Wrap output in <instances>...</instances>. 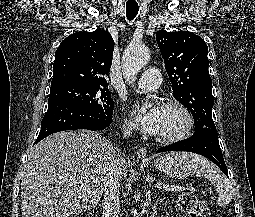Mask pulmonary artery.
Instances as JSON below:
<instances>
[{
    "instance_id": "e3ab8cb5",
    "label": "pulmonary artery",
    "mask_w": 255,
    "mask_h": 217,
    "mask_svg": "<svg viewBox=\"0 0 255 217\" xmlns=\"http://www.w3.org/2000/svg\"><path fill=\"white\" fill-rule=\"evenodd\" d=\"M160 72L158 69L145 70L137 81L136 89L139 92H149L157 89L160 85Z\"/></svg>"
}]
</instances>
